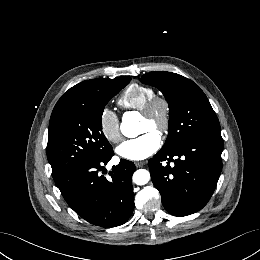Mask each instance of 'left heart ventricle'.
I'll return each mask as SVG.
<instances>
[{"label": "left heart ventricle", "instance_id": "1", "mask_svg": "<svg viewBox=\"0 0 260 260\" xmlns=\"http://www.w3.org/2000/svg\"><path fill=\"white\" fill-rule=\"evenodd\" d=\"M161 117V109L158 108L156 110V115H155V121H159ZM147 130H153V125L152 122L146 118V117H142V132H146Z\"/></svg>", "mask_w": 260, "mask_h": 260}]
</instances>
